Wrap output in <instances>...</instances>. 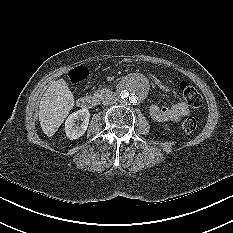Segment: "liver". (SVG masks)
<instances>
[{
  "label": "liver",
  "mask_w": 233,
  "mask_h": 233,
  "mask_svg": "<svg viewBox=\"0 0 233 233\" xmlns=\"http://www.w3.org/2000/svg\"><path fill=\"white\" fill-rule=\"evenodd\" d=\"M74 103L73 94L64 79L50 83L39 104L40 125L48 137L55 134L74 107Z\"/></svg>",
  "instance_id": "liver-1"
}]
</instances>
